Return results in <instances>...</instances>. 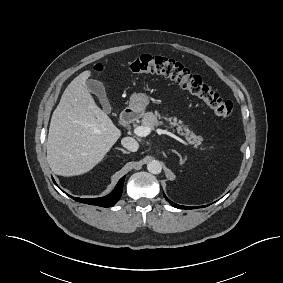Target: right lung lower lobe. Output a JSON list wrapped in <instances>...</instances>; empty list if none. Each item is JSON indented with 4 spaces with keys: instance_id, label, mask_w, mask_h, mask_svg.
<instances>
[{
    "instance_id": "right-lung-lower-lobe-1",
    "label": "right lung lower lobe",
    "mask_w": 283,
    "mask_h": 283,
    "mask_svg": "<svg viewBox=\"0 0 283 283\" xmlns=\"http://www.w3.org/2000/svg\"><path fill=\"white\" fill-rule=\"evenodd\" d=\"M124 179L125 176L122 177L118 184L116 185L115 189L107 196L105 197H101V198H93V199H81V198H76V197H72L70 196L72 199L78 201V202H82V203H86V204H90V205H97V206H101V207H111L113 206L121 197L122 194V190H123V183H124ZM55 183V182H54ZM56 184V183H55Z\"/></svg>"
}]
</instances>
